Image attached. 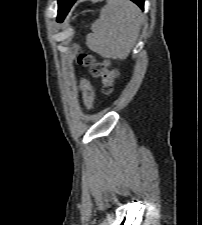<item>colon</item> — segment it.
<instances>
[{
	"instance_id": "5ec220e1",
	"label": "colon",
	"mask_w": 202,
	"mask_h": 225,
	"mask_svg": "<svg viewBox=\"0 0 202 225\" xmlns=\"http://www.w3.org/2000/svg\"><path fill=\"white\" fill-rule=\"evenodd\" d=\"M79 63L89 69V73L93 78L101 80L102 89L105 93H109L116 79L118 78V71L110 67L107 61H98L91 55L81 53L79 55ZM81 89L83 94V101L86 109L90 110L94 102V90L90 82L86 79L82 80Z\"/></svg>"
}]
</instances>
